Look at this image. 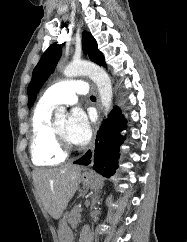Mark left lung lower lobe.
I'll list each match as a JSON object with an SVG mask.
<instances>
[{
    "instance_id": "obj_1",
    "label": "left lung lower lobe",
    "mask_w": 187,
    "mask_h": 242,
    "mask_svg": "<svg viewBox=\"0 0 187 242\" xmlns=\"http://www.w3.org/2000/svg\"><path fill=\"white\" fill-rule=\"evenodd\" d=\"M124 129H126V121L121 110L115 107L97 132L93 150H89L74 163L90 165L96 172L107 178L113 176L118 169L120 145L125 139L120 132Z\"/></svg>"
}]
</instances>
